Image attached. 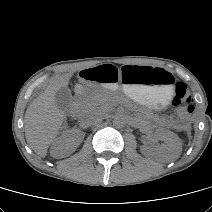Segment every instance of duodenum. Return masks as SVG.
Masks as SVG:
<instances>
[{"mask_svg":"<svg viewBox=\"0 0 212 212\" xmlns=\"http://www.w3.org/2000/svg\"><path fill=\"white\" fill-rule=\"evenodd\" d=\"M70 112L72 114H75L77 112V106H76L75 103L71 104V106H70Z\"/></svg>","mask_w":212,"mask_h":212,"instance_id":"1","label":"duodenum"}]
</instances>
